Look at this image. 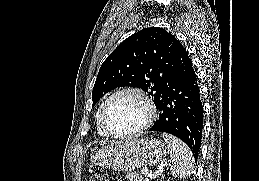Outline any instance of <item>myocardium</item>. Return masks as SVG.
Returning <instances> with one entry per match:
<instances>
[{
  "label": "myocardium",
  "instance_id": "obj_1",
  "mask_svg": "<svg viewBox=\"0 0 259 181\" xmlns=\"http://www.w3.org/2000/svg\"><path fill=\"white\" fill-rule=\"evenodd\" d=\"M122 94H133V95L137 96L145 105L146 110H147V116H146L145 121L139 128H137L133 131H130L128 133L116 134V133H113L108 128L106 121H105V113H106L107 107L110 104V102ZM156 118H157V108H156L155 103L143 89H141L139 87H135V86L123 87V88H120V89L116 90L115 92H113L102 104L101 110H100V115H99L100 124H101L103 130L105 131L107 136L115 138V139H129V138L139 136L140 134H142L144 131H146L153 125Z\"/></svg>",
  "mask_w": 259,
  "mask_h": 181
}]
</instances>
